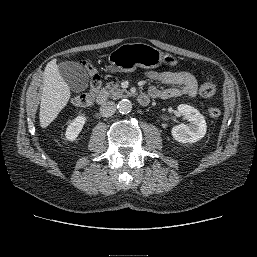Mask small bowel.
Masks as SVG:
<instances>
[{
    "label": "small bowel",
    "instance_id": "1",
    "mask_svg": "<svg viewBox=\"0 0 257 257\" xmlns=\"http://www.w3.org/2000/svg\"><path fill=\"white\" fill-rule=\"evenodd\" d=\"M146 77L153 82L170 85L164 89L154 85L150 86L146 93L149 98L195 97L198 91V82L195 76L188 72L148 71Z\"/></svg>",
    "mask_w": 257,
    "mask_h": 257
}]
</instances>
